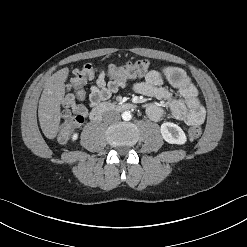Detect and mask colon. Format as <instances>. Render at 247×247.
I'll return each instance as SVG.
<instances>
[{"label":"colon","instance_id":"obj_1","mask_svg":"<svg viewBox=\"0 0 247 247\" xmlns=\"http://www.w3.org/2000/svg\"><path fill=\"white\" fill-rule=\"evenodd\" d=\"M149 70V62L144 59L129 61L122 66L110 65L106 70H103L107 73L108 76L114 79L127 80L130 78H135L146 74ZM100 69L91 65L86 64L81 69H76L73 72L72 84L75 88L76 95L80 98L82 96V87L85 83L92 79ZM84 120L81 114H76L69 116L61 124L59 129V140L61 142H66L73 128L82 123ZM202 134V130L199 126L194 125L189 128L188 136L195 140L198 139Z\"/></svg>","mask_w":247,"mask_h":247}]
</instances>
